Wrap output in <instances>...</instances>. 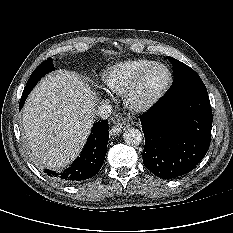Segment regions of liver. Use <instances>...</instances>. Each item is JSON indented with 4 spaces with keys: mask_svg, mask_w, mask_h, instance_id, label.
<instances>
[{
    "mask_svg": "<svg viewBox=\"0 0 233 233\" xmlns=\"http://www.w3.org/2000/svg\"><path fill=\"white\" fill-rule=\"evenodd\" d=\"M97 100L75 72L48 74L23 108V128L33 160L48 169L71 163L90 134Z\"/></svg>",
    "mask_w": 233,
    "mask_h": 233,
    "instance_id": "1",
    "label": "liver"
}]
</instances>
